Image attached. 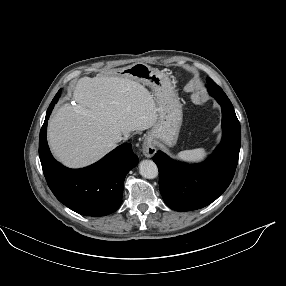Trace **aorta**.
Here are the masks:
<instances>
[{"instance_id":"obj_1","label":"aorta","mask_w":286,"mask_h":286,"mask_svg":"<svg viewBox=\"0 0 286 286\" xmlns=\"http://www.w3.org/2000/svg\"><path fill=\"white\" fill-rule=\"evenodd\" d=\"M139 172L147 179H154L158 176L157 165L152 160H143L139 164Z\"/></svg>"}]
</instances>
